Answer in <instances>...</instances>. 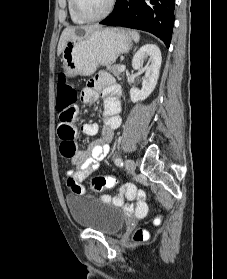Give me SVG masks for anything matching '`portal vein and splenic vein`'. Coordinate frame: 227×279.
Wrapping results in <instances>:
<instances>
[{"label": "portal vein and splenic vein", "mask_w": 227, "mask_h": 279, "mask_svg": "<svg viewBox=\"0 0 227 279\" xmlns=\"http://www.w3.org/2000/svg\"><path fill=\"white\" fill-rule=\"evenodd\" d=\"M118 70H119L120 72H123V71L125 70V65H119Z\"/></svg>", "instance_id": "18ae733b"}]
</instances>
